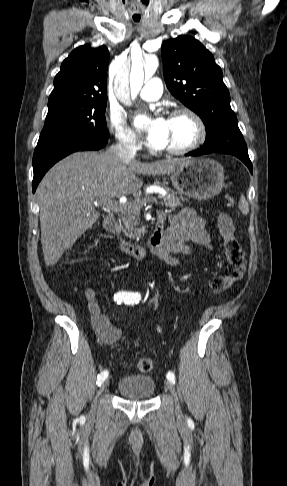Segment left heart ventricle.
Instances as JSON below:
<instances>
[{"label":"left heart ventricle","instance_id":"left-heart-ventricle-1","mask_svg":"<svg viewBox=\"0 0 287 486\" xmlns=\"http://www.w3.org/2000/svg\"><path fill=\"white\" fill-rule=\"evenodd\" d=\"M195 136V127L187 117L167 120V130L163 149L187 145Z\"/></svg>","mask_w":287,"mask_h":486}]
</instances>
